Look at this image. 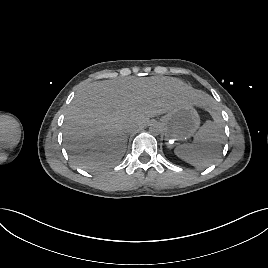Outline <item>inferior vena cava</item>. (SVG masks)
I'll return each instance as SVG.
<instances>
[{"label": "inferior vena cava", "instance_id": "obj_1", "mask_svg": "<svg viewBox=\"0 0 268 268\" xmlns=\"http://www.w3.org/2000/svg\"><path fill=\"white\" fill-rule=\"evenodd\" d=\"M136 130V127H129L128 132H133Z\"/></svg>", "mask_w": 268, "mask_h": 268}]
</instances>
